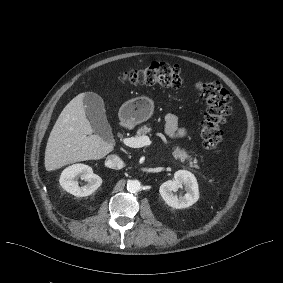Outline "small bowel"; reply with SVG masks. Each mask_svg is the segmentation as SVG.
Returning <instances> with one entry per match:
<instances>
[{"mask_svg": "<svg viewBox=\"0 0 283 283\" xmlns=\"http://www.w3.org/2000/svg\"><path fill=\"white\" fill-rule=\"evenodd\" d=\"M165 132L170 138H182L186 136L187 129L179 127L178 118L175 114L168 113L165 116Z\"/></svg>", "mask_w": 283, "mask_h": 283, "instance_id": "small-bowel-1", "label": "small bowel"}]
</instances>
